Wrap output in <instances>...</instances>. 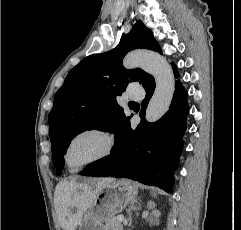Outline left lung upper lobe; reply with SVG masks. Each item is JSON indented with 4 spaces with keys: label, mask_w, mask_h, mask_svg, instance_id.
Instances as JSON below:
<instances>
[{
    "label": "left lung upper lobe",
    "mask_w": 241,
    "mask_h": 230,
    "mask_svg": "<svg viewBox=\"0 0 241 230\" xmlns=\"http://www.w3.org/2000/svg\"><path fill=\"white\" fill-rule=\"evenodd\" d=\"M142 48L162 53L152 32L139 20L128 34L122 35L116 48L86 57L68 73L55 94L48 117L57 174L62 172L63 154L76 135L97 128L111 130L116 136L120 123L129 119L116 96L121 95L130 82L138 81L145 86L152 76L140 68L124 69L122 60L129 51Z\"/></svg>",
    "instance_id": "5c2ea615"
}]
</instances>
